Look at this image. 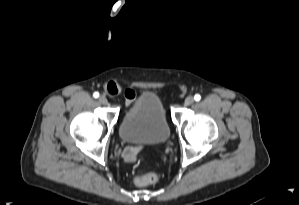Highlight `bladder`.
Returning a JSON list of instances; mask_svg holds the SVG:
<instances>
[{
  "mask_svg": "<svg viewBox=\"0 0 299 205\" xmlns=\"http://www.w3.org/2000/svg\"><path fill=\"white\" fill-rule=\"evenodd\" d=\"M118 134L124 142L142 145L168 141L171 129L160 97L153 92L140 94L126 109Z\"/></svg>",
  "mask_w": 299,
  "mask_h": 205,
  "instance_id": "31cf9c89",
  "label": "bladder"
}]
</instances>
